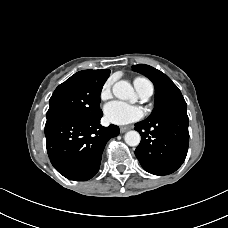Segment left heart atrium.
Returning a JSON list of instances; mask_svg holds the SVG:
<instances>
[{"mask_svg": "<svg viewBox=\"0 0 228 228\" xmlns=\"http://www.w3.org/2000/svg\"><path fill=\"white\" fill-rule=\"evenodd\" d=\"M104 116L112 124L126 125L141 119L144 116V111L138 106L113 101L104 107Z\"/></svg>", "mask_w": 228, "mask_h": 228, "instance_id": "39dd6f15", "label": "left heart atrium"}]
</instances>
